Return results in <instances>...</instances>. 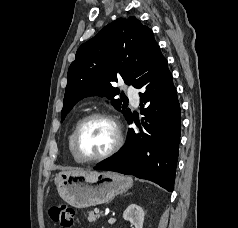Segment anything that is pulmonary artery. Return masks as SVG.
<instances>
[{"label": "pulmonary artery", "instance_id": "obj_1", "mask_svg": "<svg viewBox=\"0 0 238 228\" xmlns=\"http://www.w3.org/2000/svg\"><path fill=\"white\" fill-rule=\"evenodd\" d=\"M128 94L131 96V99H132L135 103H137L138 97L135 95V89L129 88V89H128Z\"/></svg>", "mask_w": 238, "mask_h": 228}]
</instances>
